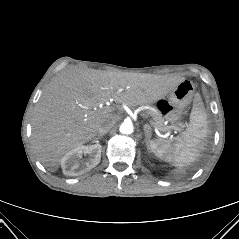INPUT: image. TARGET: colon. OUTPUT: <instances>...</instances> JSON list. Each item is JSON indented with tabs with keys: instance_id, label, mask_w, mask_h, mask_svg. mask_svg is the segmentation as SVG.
I'll list each match as a JSON object with an SVG mask.
<instances>
[{
	"instance_id": "1",
	"label": "colon",
	"mask_w": 239,
	"mask_h": 239,
	"mask_svg": "<svg viewBox=\"0 0 239 239\" xmlns=\"http://www.w3.org/2000/svg\"><path fill=\"white\" fill-rule=\"evenodd\" d=\"M159 109L161 110V112H162L163 114H168V113L171 112L172 107L168 104V102H166V101H161V102L159 103Z\"/></svg>"
}]
</instances>
